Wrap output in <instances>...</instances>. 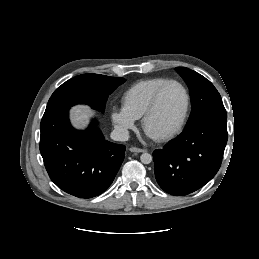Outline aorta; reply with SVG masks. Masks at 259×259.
I'll use <instances>...</instances> for the list:
<instances>
[{"instance_id":"aorta-1","label":"aorta","mask_w":259,"mask_h":259,"mask_svg":"<svg viewBox=\"0 0 259 259\" xmlns=\"http://www.w3.org/2000/svg\"><path fill=\"white\" fill-rule=\"evenodd\" d=\"M140 160L143 164H149L152 162V156L151 154L149 153H143L141 156H140Z\"/></svg>"}]
</instances>
